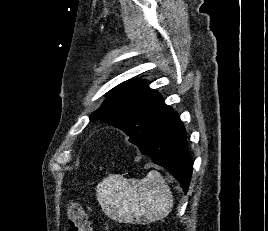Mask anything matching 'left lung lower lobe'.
<instances>
[{
    "instance_id": "left-lung-lower-lobe-1",
    "label": "left lung lower lobe",
    "mask_w": 268,
    "mask_h": 231,
    "mask_svg": "<svg viewBox=\"0 0 268 231\" xmlns=\"http://www.w3.org/2000/svg\"><path fill=\"white\" fill-rule=\"evenodd\" d=\"M142 154L167 169L187 193L193 170L186 131L179 115L171 113L142 141L135 143Z\"/></svg>"
}]
</instances>
